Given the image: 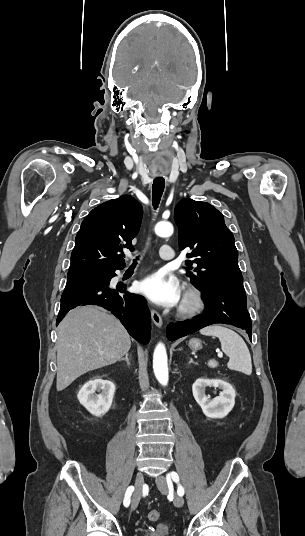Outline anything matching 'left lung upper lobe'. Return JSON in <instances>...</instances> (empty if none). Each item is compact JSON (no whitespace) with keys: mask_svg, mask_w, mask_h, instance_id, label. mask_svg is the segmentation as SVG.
<instances>
[{"mask_svg":"<svg viewBox=\"0 0 305 536\" xmlns=\"http://www.w3.org/2000/svg\"><path fill=\"white\" fill-rule=\"evenodd\" d=\"M174 219L179 249H192L186 265L197 264L194 272L187 271L192 284L201 290L244 289L234 236L223 215L209 203L184 198L175 207Z\"/></svg>","mask_w":305,"mask_h":536,"instance_id":"obj_1","label":"left lung upper lobe"}]
</instances>
